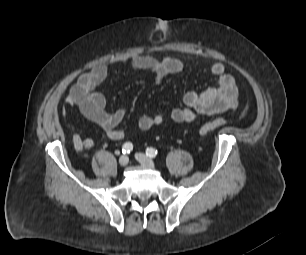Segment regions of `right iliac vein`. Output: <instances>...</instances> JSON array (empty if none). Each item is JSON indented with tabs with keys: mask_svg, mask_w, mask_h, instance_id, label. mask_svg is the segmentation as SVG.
Returning a JSON list of instances; mask_svg holds the SVG:
<instances>
[{
	"mask_svg": "<svg viewBox=\"0 0 306 255\" xmlns=\"http://www.w3.org/2000/svg\"><path fill=\"white\" fill-rule=\"evenodd\" d=\"M128 162H129V158L126 155H123L119 158V164L123 167L126 166Z\"/></svg>",
	"mask_w": 306,
	"mask_h": 255,
	"instance_id": "obj_1",
	"label": "right iliac vein"
}]
</instances>
